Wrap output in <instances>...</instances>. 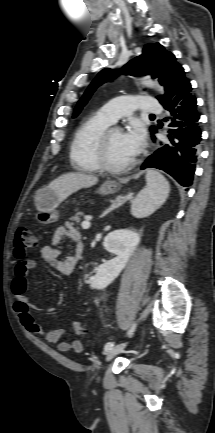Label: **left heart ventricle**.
Returning a JSON list of instances; mask_svg holds the SVG:
<instances>
[{
	"mask_svg": "<svg viewBox=\"0 0 215 433\" xmlns=\"http://www.w3.org/2000/svg\"><path fill=\"white\" fill-rule=\"evenodd\" d=\"M107 150L109 161L113 165H122L134 158L124 144L123 133L118 130L111 132L108 139Z\"/></svg>",
	"mask_w": 215,
	"mask_h": 433,
	"instance_id": "b2bd125f",
	"label": "left heart ventricle"
}]
</instances>
